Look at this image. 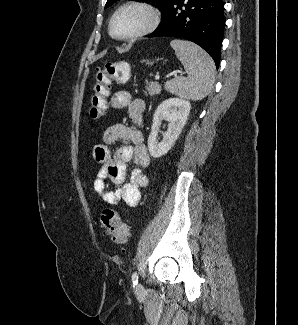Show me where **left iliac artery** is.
<instances>
[{"label":"left iliac artery","mask_w":298,"mask_h":325,"mask_svg":"<svg viewBox=\"0 0 298 325\" xmlns=\"http://www.w3.org/2000/svg\"><path fill=\"white\" fill-rule=\"evenodd\" d=\"M138 283V274L137 272L135 271L133 274H132V284L133 286L137 285Z\"/></svg>","instance_id":"1"}]
</instances>
